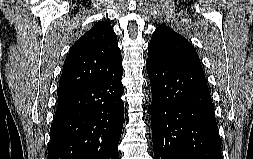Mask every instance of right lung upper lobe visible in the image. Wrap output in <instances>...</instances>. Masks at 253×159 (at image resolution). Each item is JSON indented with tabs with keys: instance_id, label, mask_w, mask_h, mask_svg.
<instances>
[{
	"instance_id": "cb5924a9",
	"label": "right lung upper lobe",
	"mask_w": 253,
	"mask_h": 159,
	"mask_svg": "<svg viewBox=\"0 0 253 159\" xmlns=\"http://www.w3.org/2000/svg\"><path fill=\"white\" fill-rule=\"evenodd\" d=\"M121 69L122 57L117 36L109 23L100 21L70 49L63 65L58 101Z\"/></svg>"
}]
</instances>
